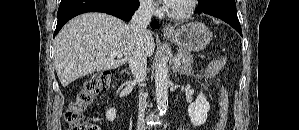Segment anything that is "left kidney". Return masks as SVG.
<instances>
[{"instance_id":"left-kidney-1","label":"left kidney","mask_w":299,"mask_h":130,"mask_svg":"<svg viewBox=\"0 0 299 130\" xmlns=\"http://www.w3.org/2000/svg\"><path fill=\"white\" fill-rule=\"evenodd\" d=\"M209 110L210 104L204 94L200 92L196 101L188 106V114L192 124L194 126L203 125L207 120Z\"/></svg>"}]
</instances>
